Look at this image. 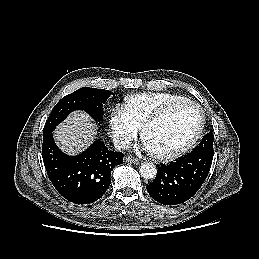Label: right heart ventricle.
I'll return each mask as SVG.
<instances>
[{
    "instance_id": "1",
    "label": "right heart ventricle",
    "mask_w": 259,
    "mask_h": 259,
    "mask_svg": "<svg viewBox=\"0 0 259 259\" xmlns=\"http://www.w3.org/2000/svg\"><path fill=\"white\" fill-rule=\"evenodd\" d=\"M186 99L185 97L169 93H139L125 98V108L132 122L139 128L143 122L168 103Z\"/></svg>"
}]
</instances>
